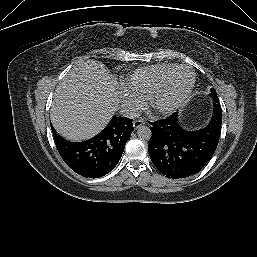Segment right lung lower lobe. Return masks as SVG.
I'll return each instance as SVG.
<instances>
[{"label": "right lung lower lobe", "instance_id": "obj_1", "mask_svg": "<svg viewBox=\"0 0 257 257\" xmlns=\"http://www.w3.org/2000/svg\"><path fill=\"white\" fill-rule=\"evenodd\" d=\"M132 121L126 117H113L99 134L82 142L67 141L53 128L52 132L60 156L73 171L86 178H99L119 162L134 130Z\"/></svg>", "mask_w": 257, "mask_h": 257}]
</instances>
